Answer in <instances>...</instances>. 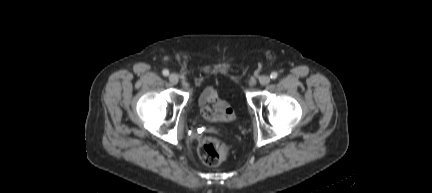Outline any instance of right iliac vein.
I'll return each mask as SVG.
<instances>
[{
    "mask_svg": "<svg viewBox=\"0 0 432 193\" xmlns=\"http://www.w3.org/2000/svg\"><path fill=\"white\" fill-rule=\"evenodd\" d=\"M169 81H170L171 84L176 85L178 83V81H179L178 75L175 74V73L170 74L169 75Z\"/></svg>",
    "mask_w": 432,
    "mask_h": 193,
    "instance_id": "right-iliac-vein-1",
    "label": "right iliac vein"
}]
</instances>
